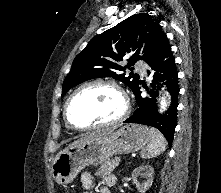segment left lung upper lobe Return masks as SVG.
Returning a JSON list of instances; mask_svg holds the SVG:
<instances>
[{
  "label": "left lung upper lobe",
  "instance_id": "5c2ea615",
  "mask_svg": "<svg viewBox=\"0 0 221 193\" xmlns=\"http://www.w3.org/2000/svg\"><path fill=\"white\" fill-rule=\"evenodd\" d=\"M166 41L167 36L161 26L147 13L128 17L92 38L75 57L64 80L62 96L72 87L99 77H112L134 91L139 84V76H126L124 71L140 59L147 62ZM124 56H129L126 66L120 64Z\"/></svg>",
  "mask_w": 221,
  "mask_h": 193
}]
</instances>
